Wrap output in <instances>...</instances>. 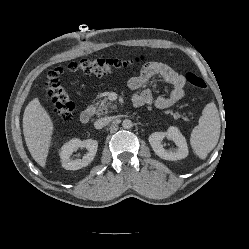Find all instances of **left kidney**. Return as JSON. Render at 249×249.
I'll return each instance as SVG.
<instances>
[{"mask_svg": "<svg viewBox=\"0 0 249 249\" xmlns=\"http://www.w3.org/2000/svg\"><path fill=\"white\" fill-rule=\"evenodd\" d=\"M166 136L176 144L178 147L176 151H166L164 149L161 141ZM148 140L153 151L164 160H180L187 157L189 153L186 139L177 127L171 126L167 132H154L149 136Z\"/></svg>", "mask_w": 249, "mask_h": 249, "instance_id": "5707ae66", "label": "left kidney"}]
</instances>
